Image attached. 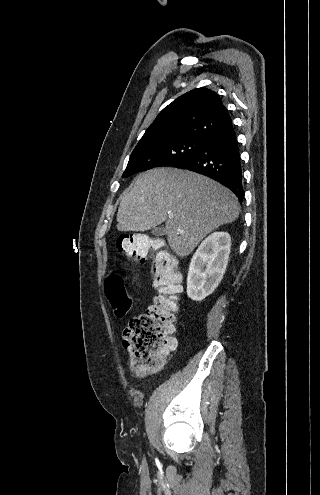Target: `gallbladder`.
Masks as SVG:
<instances>
[{
    "label": "gallbladder",
    "instance_id": "gallbladder-1",
    "mask_svg": "<svg viewBox=\"0 0 320 495\" xmlns=\"http://www.w3.org/2000/svg\"><path fill=\"white\" fill-rule=\"evenodd\" d=\"M152 233L155 236H163L165 234V229L162 226L153 228Z\"/></svg>",
    "mask_w": 320,
    "mask_h": 495
}]
</instances>
